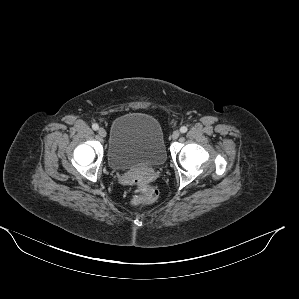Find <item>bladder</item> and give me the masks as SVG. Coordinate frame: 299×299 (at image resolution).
Listing matches in <instances>:
<instances>
[{"label":"bladder","mask_w":299,"mask_h":299,"mask_svg":"<svg viewBox=\"0 0 299 299\" xmlns=\"http://www.w3.org/2000/svg\"><path fill=\"white\" fill-rule=\"evenodd\" d=\"M166 157L163 132L156 118L132 112L114 120L107 152L111 169L125 171L142 166L160 167Z\"/></svg>","instance_id":"31cf9c89"}]
</instances>
